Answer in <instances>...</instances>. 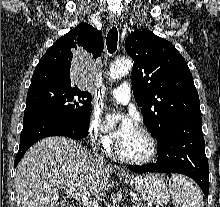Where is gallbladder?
<instances>
[{
  "instance_id": "1",
  "label": "gallbladder",
  "mask_w": 220,
  "mask_h": 207,
  "mask_svg": "<svg viewBox=\"0 0 220 207\" xmlns=\"http://www.w3.org/2000/svg\"><path fill=\"white\" fill-rule=\"evenodd\" d=\"M66 204V202L64 200L60 201L57 203V205H55V207H64Z\"/></svg>"
}]
</instances>
